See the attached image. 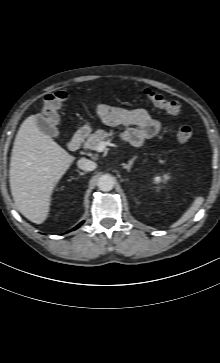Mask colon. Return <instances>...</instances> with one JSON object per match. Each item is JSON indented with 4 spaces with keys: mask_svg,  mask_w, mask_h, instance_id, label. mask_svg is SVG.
<instances>
[{
    "mask_svg": "<svg viewBox=\"0 0 220 363\" xmlns=\"http://www.w3.org/2000/svg\"><path fill=\"white\" fill-rule=\"evenodd\" d=\"M143 95L156 108L164 110L171 115H177L181 110L178 101L166 98L165 96L151 90L144 89ZM66 99V94L62 91L48 94L41 107V111L47 121L54 124L59 120L60 109ZM193 136V130L189 125L182 124L177 128V138L181 142H187Z\"/></svg>",
    "mask_w": 220,
    "mask_h": 363,
    "instance_id": "1",
    "label": "colon"
}]
</instances>
